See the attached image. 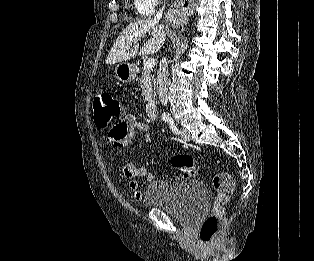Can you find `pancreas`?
Segmentation results:
<instances>
[{"label": "pancreas", "instance_id": "1", "mask_svg": "<svg viewBox=\"0 0 314 261\" xmlns=\"http://www.w3.org/2000/svg\"><path fill=\"white\" fill-rule=\"evenodd\" d=\"M151 71L150 68L145 67L139 79L143 89L142 96L147 102H153L155 100V78Z\"/></svg>", "mask_w": 314, "mask_h": 261}]
</instances>
